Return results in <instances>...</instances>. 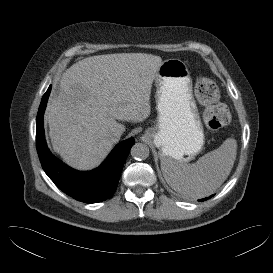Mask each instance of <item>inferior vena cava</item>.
<instances>
[{
	"mask_svg": "<svg viewBox=\"0 0 273 273\" xmlns=\"http://www.w3.org/2000/svg\"><path fill=\"white\" fill-rule=\"evenodd\" d=\"M110 139L112 142L116 143L119 141L120 135L118 133H112L110 136Z\"/></svg>",
	"mask_w": 273,
	"mask_h": 273,
	"instance_id": "inferior-vena-cava-1",
	"label": "inferior vena cava"
}]
</instances>
